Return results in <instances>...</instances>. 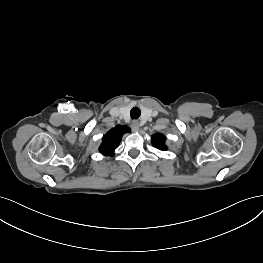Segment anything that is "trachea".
I'll return each mask as SVG.
<instances>
[{
  "label": "trachea",
  "mask_w": 263,
  "mask_h": 263,
  "mask_svg": "<svg viewBox=\"0 0 263 263\" xmlns=\"http://www.w3.org/2000/svg\"><path fill=\"white\" fill-rule=\"evenodd\" d=\"M130 115L132 119H138L141 115V111L138 107H134L131 109Z\"/></svg>",
  "instance_id": "obj_1"
}]
</instances>
